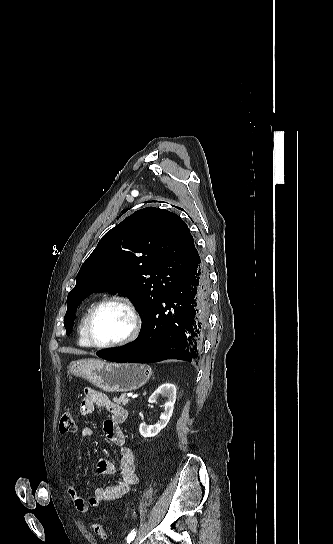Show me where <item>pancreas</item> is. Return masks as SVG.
<instances>
[{
    "label": "pancreas",
    "instance_id": "1",
    "mask_svg": "<svg viewBox=\"0 0 333 544\" xmlns=\"http://www.w3.org/2000/svg\"><path fill=\"white\" fill-rule=\"evenodd\" d=\"M114 402L120 404V405H123V406H127L128 405V402H129V399H127L125 397V395H121L119 398L115 397L113 399Z\"/></svg>",
    "mask_w": 333,
    "mask_h": 544
}]
</instances>
